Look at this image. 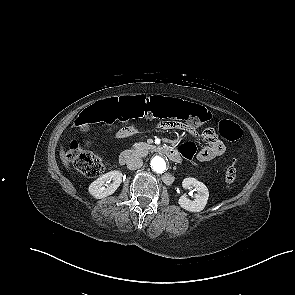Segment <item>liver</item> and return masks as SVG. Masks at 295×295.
I'll return each instance as SVG.
<instances>
[{
    "mask_svg": "<svg viewBox=\"0 0 295 295\" xmlns=\"http://www.w3.org/2000/svg\"><path fill=\"white\" fill-rule=\"evenodd\" d=\"M60 157H61V160H62L64 166L66 167V169H70V167H69L70 160L68 159L62 146H61V150H60Z\"/></svg>",
    "mask_w": 295,
    "mask_h": 295,
    "instance_id": "liver-1",
    "label": "liver"
}]
</instances>
